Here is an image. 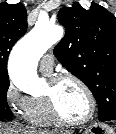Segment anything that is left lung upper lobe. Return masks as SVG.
Segmentation results:
<instances>
[{"mask_svg": "<svg viewBox=\"0 0 116 134\" xmlns=\"http://www.w3.org/2000/svg\"><path fill=\"white\" fill-rule=\"evenodd\" d=\"M58 19L66 32L55 56L91 90L99 119L116 117V17L99 4L86 10L76 2Z\"/></svg>", "mask_w": 116, "mask_h": 134, "instance_id": "1", "label": "left lung upper lobe"}]
</instances>
